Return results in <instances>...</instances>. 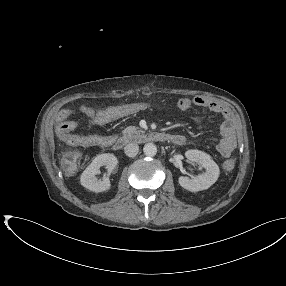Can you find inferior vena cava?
<instances>
[{"mask_svg":"<svg viewBox=\"0 0 286 286\" xmlns=\"http://www.w3.org/2000/svg\"><path fill=\"white\" fill-rule=\"evenodd\" d=\"M139 152V146L136 143H129L125 146V154L128 157H135Z\"/></svg>","mask_w":286,"mask_h":286,"instance_id":"obj_1","label":"inferior vena cava"}]
</instances>
